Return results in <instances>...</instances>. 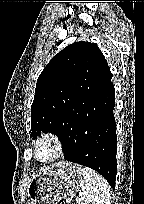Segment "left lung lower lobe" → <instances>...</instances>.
I'll use <instances>...</instances> for the list:
<instances>
[{"mask_svg":"<svg viewBox=\"0 0 144 204\" xmlns=\"http://www.w3.org/2000/svg\"><path fill=\"white\" fill-rule=\"evenodd\" d=\"M108 65V64H107ZM109 67L94 73L86 89V103L63 144L64 158L99 172L115 188V89Z\"/></svg>","mask_w":144,"mask_h":204,"instance_id":"0a47b994","label":"left lung lower lobe"}]
</instances>
